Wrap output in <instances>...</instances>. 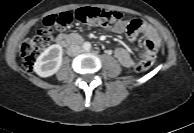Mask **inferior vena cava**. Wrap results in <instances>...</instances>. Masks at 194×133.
<instances>
[{
  "label": "inferior vena cava",
  "instance_id": "obj_1",
  "mask_svg": "<svg viewBox=\"0 0 194 133\" xmlns=\"http://www.w3.org/2000/svg\"><path fill=\"white\" fill-rule=\"evenodd\" d=\"M81 52V47L78 45H71L68 50H67V54L69 56H76Z\"/></svg>",
  "mask_w": 194,
  "mask_h": 133
}]
</instances>
